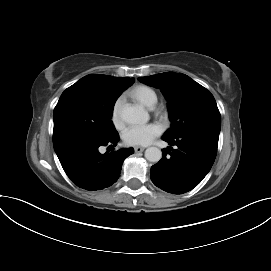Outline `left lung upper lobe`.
<instances>
[{
    "mask_svg": "<svg viewBox=\"0 0 271 271\" xmlns=\"http://www.w3.org/2000/svg\"><path fill=\"white\" fill-rule=\"evenodd\" d=\"M138 80L158 87L168 101L171 128L163 137L196 131L220 132L221 116L213 95L185 74L166 72Z\"/></svg>",
    "mask_w": 271,
    "mask_h": 271,
    "instance_id": "1",
    "label": "left lung upper lobe"
}]
</instances>
